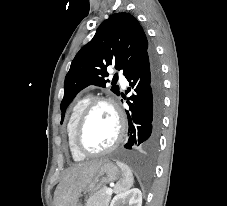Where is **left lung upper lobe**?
<instances>
[{
	"instance_id": "left-lung-upper-lobe-1",
	"label": "left lung upper lobe",
	"mask_w": 227,
	"mask_h": 206,
	"mask_svg": "<svg viewBox=\"0 0 227 206\" xmlns=\"http://www.w3.org/2000/svg\"><path fill=\"white\" fill-rule=\"evenodd\" d=\"M149 51L146 35L131 14L115 13L103 21L93 39L76 54L65 77L61 124L79 91L91 84L105 87L109 82L104 79L107 66L115 65L125 76ZM111 91L119 95L118 86H112Z\"/></svg>"
}]
</instances>
